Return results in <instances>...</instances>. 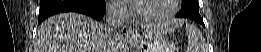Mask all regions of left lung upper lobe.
<instances>
[{
	"mask_svg": "<svg viewBox=\"0 0 261 52\" xmlns=\"http://www.w3.org/2000/svg\"><path fill=\"white\" fill-rule=\"evenodd\" d=\"M182 2V8L177 14V17L189 18L199 23H203V20L199 14V3L197 0H182Z\"/></svg>",
	"mask_w": 261,
	"mask_h": 52,
	"instance_id": "left-lung-upper-lobe-1",
	"label": "left lung upper lobe"
}]
</instances>
